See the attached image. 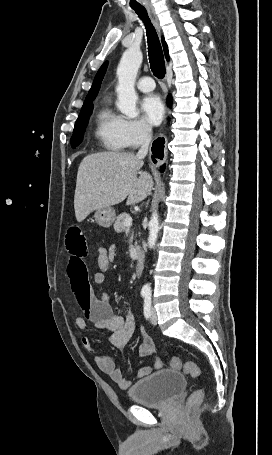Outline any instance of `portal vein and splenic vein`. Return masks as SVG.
I'll list each match as a JSON object with an SVG mask.
<instances>
[{
	"label": "portal vein and splenic vein",
	"instance_id": "obj_1",
	"mask_svg": "<svg viewBox=\"0 0 272 455\" xmlns=\"http://www.w3.org/2000/svg\"><path fill=\"white\" fill-rule=\"evenodd\" d=\"M125 225H126L127 228L131 227V225H132V218L131 217H127L126 218Z\"/></svg>",
	"mask_w": 272,
	"mask_h": 455
}]
</instances>
